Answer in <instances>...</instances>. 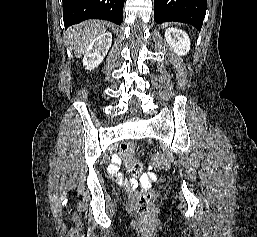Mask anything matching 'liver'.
Returning a JSON list of instances; mask_svg holds the SVG:
<instances>
[{
	"label": "liver",
	"mask_w": 257,
	"mask_h": 237,
	"mask_svg": "<svg viewBox=\"0 0 257 237\" xmlns=\"http://www.w3.org/2000/svg\"><path fill=\"white\" fill-rule=\"evenodd\" d=\"M106 31L101 21H86L68 31L73 40V49L76 57L83 55L91 42Z\"/></svg>",
	"instance_id": "obj_1"
}]
</instances>
